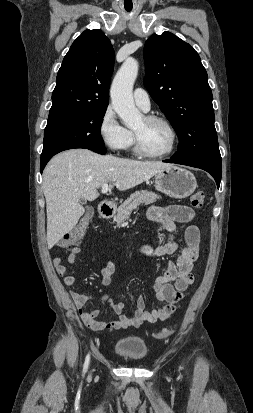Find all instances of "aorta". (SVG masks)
<instances>
[{
  "instance_id": "1",
  "label": "aorta",
  "mask_w": 253,
  "mask_h": 413,
  "mask_svg": "<svg viewBox=\"0 0 253 413\" xmlns=\"http://www.w3.org/2000/svg\"><path fill=\"white\" fill-rule=\"evenodd\" d=\"M138 69L139 65L135 59H126L116 73L110 89L113 109L127 127L135 126L142 118L134 104L132 93Z\"/></svg>"
}]
</instances>
